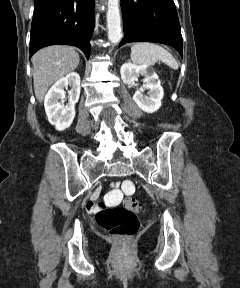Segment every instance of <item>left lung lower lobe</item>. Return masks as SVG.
Listing matches in <instances>:
<instances>
[{
	"label": "left lung lower lobe",
	"mask_w": 240,
	"mask_h": 288,
	"mask_svg": "<svg viewBox=\"0 0 240 288\" xmlns=\"http://www.w3.org/2000/svg\"><path fill=\"white\" fill-rule=\"evenodd\" d=\"M124 38L129 42H157L174 47L182 56V36L173 0H121Z\"/></svg>",
	"instance_id": "1"
}]
</instances>
